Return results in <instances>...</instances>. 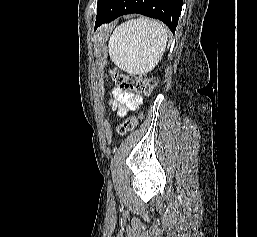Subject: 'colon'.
<instances>
[{
	"instance_id": "5ec220e1",
	"label": "colon",
	"mask_w": 257,
	"mask_h": 237,
	"mask_svg": "<svg viewBox=\"0 0 257 237\" xmlns=\"http://www.w3.org/2000/svg\"><path fill=\"white\" fill-rule=\"evenodd\" d=\"M114 84L123 92L148 94L154 90L157 85V79L148 75H128L119 71L112 72ZM137 123L136 118H129L124 123L119 124L117 131L124 134L132 129Z\"/></svg>"
}]
</instances>
